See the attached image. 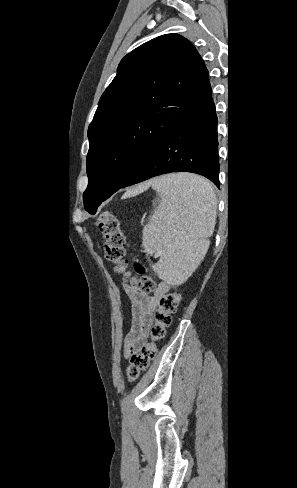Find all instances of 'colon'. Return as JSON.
Here are the masks:
<instances>
[{
	"instance_id": "obj_1",
	"label": "colon",
	"mask_w": 297,
	"mask_h": 488,
	"mask_svg": "<svg viewBox=\"0 0 297 488\" xmlns=\"http://www.w3.org/2000/svg\"><path fill=\"white\" fill-rule=\"evenodd\" d=\"M97 225L104 237L106 259L116 265L117 272L125 273V236L121 230L119 217L109 211H105L99 216ZM135 271L139 277L132 279V287L141 293L153 291L156 287L155 280L147 272V269L137 263ZM181 299V290L168 293L160 298L158 306L153 313L150 340L141 347L138 353H135L130 358L127 367V378L129 381L136 380L142 372L148 369L150 362L156 357L157 344L165 337L166 330L172 321V314L176 311Z\"/></svg>"
}]
</instances>
